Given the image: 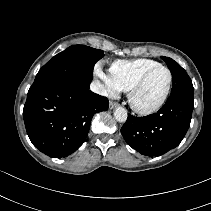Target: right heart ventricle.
<instances>
[{
    "label": "right heart ventricle",
    "instance_id": "e07e8e85",
    "mask_svg": "<svg viewBox=\"0 0 211 211\" xmlns=\"http://www.w3.org/2000/svg\"><path fill=\"white\" fill-rule=\"evenodd\" d=\"M157 65L160 64L147 58L117 60L110 66V76L119 90L129 91L146 70Z\"/></svg>",
    "mask_w": 211,
    "mask_h": 211
}]
</instances>
